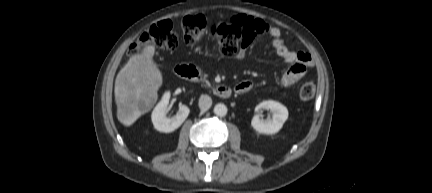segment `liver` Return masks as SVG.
Returning a JSON list of instances; mask_svg holds the SVG:
<instances>
[{"instance_id":"obj_1","label":"liver","mask_w":432,"mask_h":193,"mask_svg":"<svg viewBox=\"0 0 432 193\" xmlns=\"http://www.w3.org/2000/svg\"><path fill=\"white\" fill-rule=\"evenodd\" d=\"M154 53V46H146L141 54L129 59L116 77L114 93L117 118L125 126H131L158 99L162 74L153 61Z\"/></svg>"}]
</instances>
